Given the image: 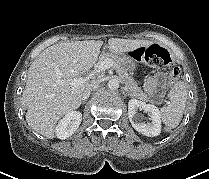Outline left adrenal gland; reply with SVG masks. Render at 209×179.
Here are the masks:
<instances>
[{
	"label": "left adrenal gland",
	"instance_id": "obj_1",
	"mask_svg": "<svg viewBox=\"0 0 209 179\" xmlns=\"http://www.w3.org/2000/svg\"><path fill=\"white\" fill-rule=\"evenodd\" d=\"M127 95L130 96V97H132L129 93L126 92L125 96H127Z\"/></svg>",
	"mask_w": 209,
	"mask_h": 179
}]
</instances>
